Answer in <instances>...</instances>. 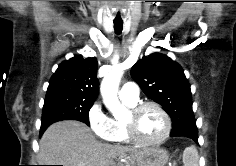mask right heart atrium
I'll return each instance as SVG.
<instances>
[{"instance_id": "obj_1", "label": "right heart atrium", "mask_w": 236, "mask_h": 166, "mask_svg": "<svg viewBox=\"0 0 236 166\" xmlns=\"http://www.w3.org/2000/svg\"><path fill=\"white\" fill-rule=\"evenodd\" d=\"M90 129L99 139L110 141L112 138V119L104 111L100 102L91 105L87 113Z\"/></svg>"}]
</instances>
